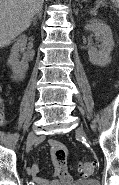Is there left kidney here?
<instances>
[{
    "label": "left kidney",
    "mask_w": 119,
    "mask_h": 185,
    "mask_svg": "<svg viewBox=\"0 0 119 185\" xmlns=\"http://www.w3.org/2000/svg\"><path fill=\"white\" fill-rule=\"evenodd\" d=\"M85 30H91L96 40L101 42L100 49L91 47L88 50L89 60L93 65L104 67L111 62V51L114 47V40L111 28L101 20L92 19L85 26Z\"/></svg>",
    "instance_id": "5707ae66"
}]
</instances>
